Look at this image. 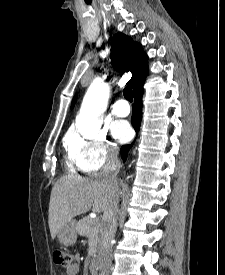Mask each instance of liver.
<instances>
[{
    "instance_id": "1",
    "label": "liver",
    "mask_w": 225,
    "mask_h": 275,
    "mask_svg": "<svg viewBox=\"0 0 225 275\" xmlns=\"http://www.w3.org/2000/svg\"><path fill=\"white\" fill-rule=\"evenodd\" d=\"M108 196V186L100 175L61 177L52 188L49 202L48 223L52 239L75 216L91 208L94 212L105 211Z\"/></svg>"
}]
</instances>
